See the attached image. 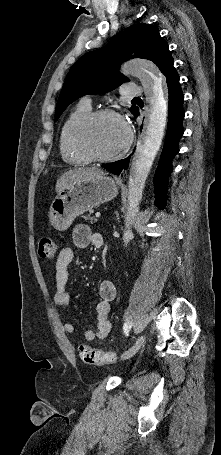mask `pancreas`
<instances>
[{
	"label": "pancreas",
	"instance_id": "1",
	"mask_svg": "<svg viewBox=\"0 0 221 455\" xmlns=\"http://www.w3.org/2000/svg\"><path fill=\"white\" fill-rule=\"evenodd\" d=\"M92 211H90V213L86 216H84V219L85 220H89L91 223H93V221H95L96 219L92 216Z\"/></svg>",
	"mask_w": 221,
	"mask_h": 455
}]
</instances>
